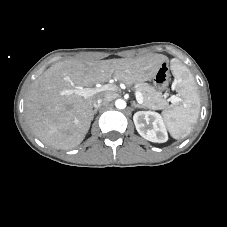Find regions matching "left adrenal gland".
Returning a JSON list of instances; mask_svg holds the SVG:
<instances>
[{
    "instance_id": "left-adrenal-gland-1",
    "label": "left adrenal gland",
    "mask_w": 227,
    "mask_h": 227,
    "mask_svg": "<svg viewBox=\"0 0 227 227\" xmlns=\"http://www.w3.org/2000/svg\"><path fill=\"white\" fill-rule=\"evenodd\" d=\"M132 105L134 106V108H144L142 105L137 104L135 102H133Z\"/></svg>"
}]
</instances>
